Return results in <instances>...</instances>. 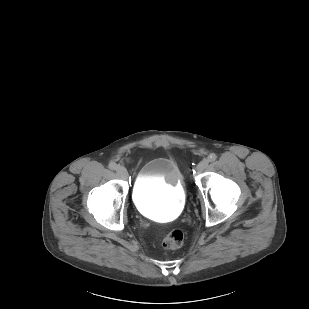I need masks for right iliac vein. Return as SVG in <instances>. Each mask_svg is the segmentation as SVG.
<instances>
[{
    "instance_id": "1",
    "label": "right iliac vein",
    "mask_w": 309,
    "mask_h": 309,
    "mask_svg": "<svg viewBox=\"0 0 309 309\" xmlns=\"http://www.w3.org/2000/svg\"><path fill=\"white\" fill-rule=\"evenodd\" d=\"M116 172L120 178L124 180L128 178V172L123 166H118Z\"/></svg>"
}]
</instances>
